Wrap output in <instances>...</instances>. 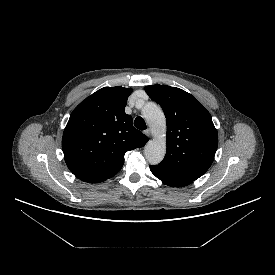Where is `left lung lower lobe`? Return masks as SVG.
Returning <instances> with one entry per match:
<instances>
[{
	"label": "left lung lower lobe",
	"instance_id": "0a47b994",
	"mask_svg": "<svg viewBox=\"0 0 275 275\" xmlns=\"http://www.w3.org/2000/svg\"><path fill=\"white\" fill-rule=\"evenodd\" d=\"M151 172L164 184L172 187H183L193 182L192 179L164 169L158 165L150 166Z\"/></svg>",
	"mask_w": 275,
	"mask_h": 275
}]
</instances>
